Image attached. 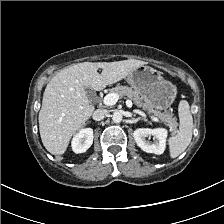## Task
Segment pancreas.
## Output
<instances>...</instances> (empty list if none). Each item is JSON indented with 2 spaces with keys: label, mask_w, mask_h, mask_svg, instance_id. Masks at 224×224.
<instances>
[{
  "label": "pancreas",
  "mask_w": 224,
  "mask_h": 224,
  "mask_svg": "<svg viewBox=\"0 0 224 224\" xmlns=\"http://www.w3.org/2000/svg\"><path fill=\"white\" fill-rule=\"evenodd\" d=\"M111 93L118 94L119 98L128 97L131 99L135 105L138 107L143 108L146 110L149 114H152L159 118L162 122H165L166 125L174 131L177 127V122L174 117H172L169 113H162L158 110H155L153 107H151L148 103L144 102L141 96L138 94L137 91L133 90L131 87L128 86H116L114 88L110 89Z\"/></svg>",
  "instance_id": "cf45deb5"
}]
</instances>
